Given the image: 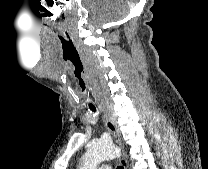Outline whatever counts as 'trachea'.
<instances>
[{"mask_svg": "<svg viewBox=\"0 0 208 169\" xmlns=\"http://www.w3.org/2000/svg\"><path fill=\"white\" fill-rule=\"evenodd\" d=\"M89 108H90V110H91L92 112H94V113L97 111V110H96V107H95L94 105H90ZM117 169H123V167L119 166V167H117Z\"/></svg>", "mask_w": 208, "mask_h": 169, "instance_id": "trachea-1", "label": "trachea"}]
</instances>
